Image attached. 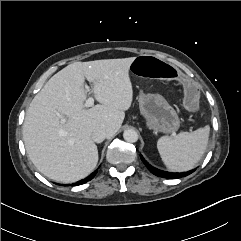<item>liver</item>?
<instances>
[{"instance_id": "1", "label": "liver", "mask_w": 241, "mask_h": 241, "mask_svg": "<svg viewBox=\"0 0 241 241\" xmlns=\"http://www.w3.org/2000/svg\"><path fill=\"white\" fill-rule=\"evenodd\" d=\"M135 57L72 63L44 85L32 100L23 123L28 157L44 176L61 183L87 177L98 162L92 134L112 137L131 106L129 68ZM85 79L100 103L85 108Z\"/></svg>"}]
</instances>
